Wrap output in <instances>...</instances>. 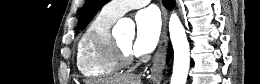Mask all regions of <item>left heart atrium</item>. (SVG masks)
I'll list each match as a JSON object with an SVG mask.
<instances>
[{"label":"left heart atrium","instance_id":"obj_1","mask_svg":"<svg viewBox=\"0 0 260 84\" xmlns=\"http://www.w3.org/2000/svg\"><path fill=\"white\" fill-rule=\"evenodd\" d=\"M137 36L134 43L136 53H150L156 47L161 34V18L156 8L149 7L136 15Z\"/></svg>","mask_w":260,"mask_h":84}]
</instances>
